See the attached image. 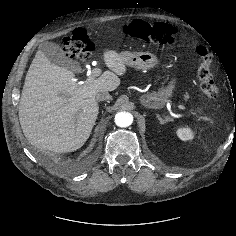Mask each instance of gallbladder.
Instances as JSON below:
<instances>
[{
    "instance_id": "obj_1",
    "label": "gallbladder",
    "mask_w": 236,
    "mask_h": 236,
    "mask_svg": "<svg viewBox=\"0 0 236 236\" xmlns=\"http://www.w3.org/2000/svg\"><path fill=\"white\" fill-rule=\"evenodd\" d=\"M39 50L53 63L71 70L73 72L80 71V65L77 61L66 56L62 48L53 42H43L39 45Z\"/></svg>"
}]
</instances>
